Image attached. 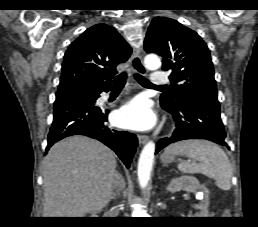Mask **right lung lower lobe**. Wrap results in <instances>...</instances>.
Segmentation results:
<instances>
[{"label": "right lung lower lobe", "mask_w": 258, "mask_h": 227, "mask_svg": "<svg viewBox=\"0 0 258 227\" xmlns=\"http://www.w3.org/2000/svg\"><path fill=\"white\" fill-rule=\"evenodd\" d=\"M110 88L111 86H81L77 88V92L56 99L46 151L67 136L86 135L110 147L129 167L138 144L136 136L126 131L109 129L104 124L108 112L95 106L99 94Z\"/></svg>", "instance_id": "right-lung-lower-lobe-1"}]
</instances>
